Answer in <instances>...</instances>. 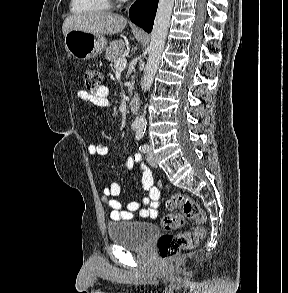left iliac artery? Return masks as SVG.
I'll return each mask as SVG.
<instances>
[{"label": "left iliac artery", "instance_id": "obj_1", "mask_svg": "<svg viewBox=\"0 0 288 293\" xmlns=\"http://www.w3.org/2000/svg\"><path fill=\"white\" fill-rule=\"evenodd\" d=\"M143 135H144V131L143 130H141V129L137 130L136 136H135L136 140H140L143 137ZM149 149H150V147L147 144H143V145H140L139 146V150L141 152H144V153L145 152H148Z\"/></svg>", "mask_w": 288, "mask_h": 293}]
</instances>
